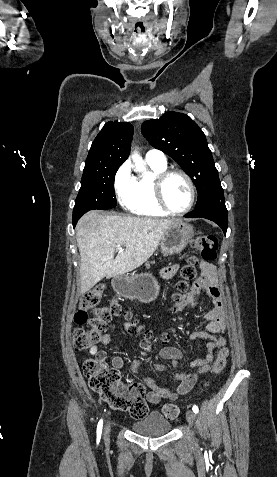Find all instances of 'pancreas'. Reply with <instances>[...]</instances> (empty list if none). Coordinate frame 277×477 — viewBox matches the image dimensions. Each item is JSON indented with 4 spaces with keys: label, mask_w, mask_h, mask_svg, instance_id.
<instances>
[{
    "label": "pancreas",
    "mask_w": 277,
    "mask_h": 477,
    "mask_svg": "<svg viewBox=\"0 0 277 477\" xmlns=\"http://www.w3.org/2000/svg\"><path fill=\"white\" fill-rule=\"evenodd\" d=\"M152 263H154V262H152ZM146 267H150V264H149V263H146Z\"/></svg>",
    "instance_id": "1"
}]
</instances>
